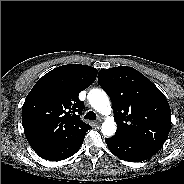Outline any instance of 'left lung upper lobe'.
I'll return each mask as SVG.
<instances>
[{"label":"left lung upper lobe","instance_id":"left-lung-upper-lobe-1","mask_svg":"<svg viewBox=\"0 0 184 184\" xmlns=\"http://www.w3.org/2000/svg\"><path fill=\"white\" fill-rule=\"evenodd\" d=\"M98 82L112 101L116 132L158 152L171 128V110L164 94L128 66L100 70Z\"/></svg>","mask_w":184,"mask_h":184}]
</instances>
